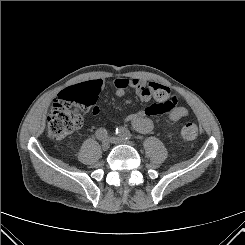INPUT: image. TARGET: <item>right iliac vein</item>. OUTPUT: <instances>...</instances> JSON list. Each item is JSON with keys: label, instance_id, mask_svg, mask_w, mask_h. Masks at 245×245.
Instances as JSON below:
<instances>
[{"label": "right iliac vein", "instance_id": "63e3f726", "mask_svg": "<svg viewBox=\"0 0 245 245\" xmlns=\"http://www.w3.org/2000/svg\"><path fill=\"white\" fill-rule=\"evenodd\" d=\"M109 147H110V142H109V140H108V139L104 140V141L102 142V149H103L104 151H107V150L109 149Z\"/></svg>", "mask_w": 245, "mask_h": 245}]
</instances>
